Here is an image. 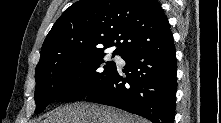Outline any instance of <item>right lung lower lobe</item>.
<instances>
[{
    "mask_svg": "<svg viewBox=\"0 0 221 123\" xmlns=\"http://www.w3.org/2000/svg\"><path fill=\"white\" fill-rule=\"evenodd\" d=\"M122 58L125 68H116L103 82L94 85L85 98L140 115L153 123H173L177 90L173 36L133 49Z\"/></svg>",
    "mask_w": 221,
    "mask_h": 123,
    "instance_id": "1",
    "label": "right lung lower lobe"
}]
</instances>
